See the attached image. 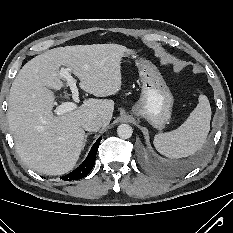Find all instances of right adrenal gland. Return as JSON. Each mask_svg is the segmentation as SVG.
I'll return each instance as SVG.
<instances>
[{"label":"right adrenal gland","mask_w":233,"mask_h":233,"mask_svg":"<svg viewBox=\"0 0 233 233\" xmlns=\"http://www.w3.org/2000/svg\"><path fill=\"white\" fill-rule=\"evenodd\" d=\"M90 134H91V133H87V134L85 135L82 149H84V146H85V144H86V142H87V137H88Z\"/></svg>","instance_id":"2a0ac1e0"}]
</instances>
